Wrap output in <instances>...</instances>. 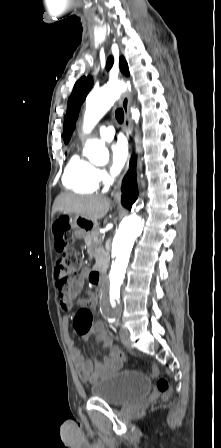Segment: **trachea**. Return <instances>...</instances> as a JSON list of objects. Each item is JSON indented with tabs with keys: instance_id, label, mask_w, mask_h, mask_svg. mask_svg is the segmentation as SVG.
Returning <instances> with one entry per match:
<instances>
[{
	"instance_id": "3493384b",
	"label": "trachea",
	"mask_w": 221,
	"mask_h": 448,
	"mask_svg": "<svg viewBox=\"0 0 221 448\" xmlns=\"http://www.w3.org/2000/svg\"><path fill=\"white\" fill-rule=\"evenodd\" d=\"M115 117L119 123H122L124 121V111L122 108L116 109Z\"/></svg>"
}]
</instances>
